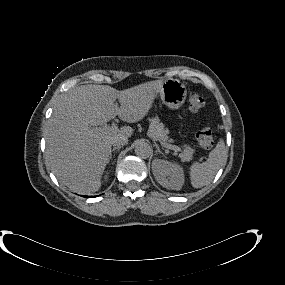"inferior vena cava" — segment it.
Here are the masks:
<instances>
[{
	"label": "inferior vena cava",
	"mask_w": 285,
	"mask_h": 285,
	"mask_svg": "<svg viewBox=\"0 0 285 285\" xmlns=\"http://www.w3.org/2000/svg\"><path fill=\"white\" fill-rule=\"evenodd\" d=\"M128 143V138L124 135H119L115 137L112 141L113 146H124Z\"/></svg>",
	"instance_id": "obj_1"
}]
</instances>
